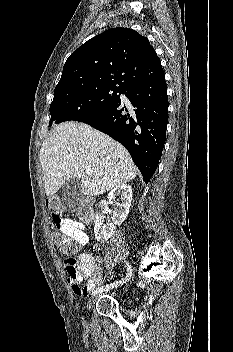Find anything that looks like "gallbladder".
Segmentation results:
<instances>
[{"label":"gallbladder","instance_id":"bac80fb5","mask_svg":"<svg viewBox=\"0 0 233 352\" xmlns=\"http://www.w3.org/2000/svg\"><path fill=\"white\" fill-rule=\"evenodd\" d=\"M82 196L80 179L73 178L64 183L61 192V201L67 211L76 210L80 205Z\"/></svg>","mask_w":233,"mask_h":352}]
</instances>
